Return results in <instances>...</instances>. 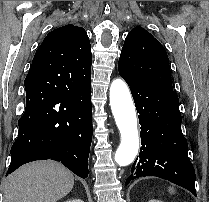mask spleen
<instances>
[{
  "label": "spleen",
  "mask_w": 209,
  "mask_h": 202,
  "mask_svg": "<svg viewBox=\"0 0 209 202\" xmlns=\"http://www.w3.org/2000/svg\"><path fill=\"white\" fill-rule=\"evenodd\" d=\"M169 192L170 193H174V189L173 188H169Z\"/></svg>",
  "instance_id": "1"
}]
</instances>
